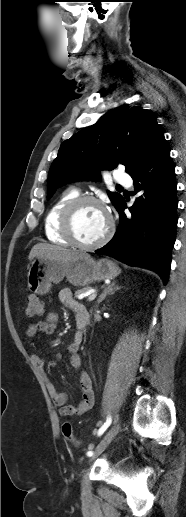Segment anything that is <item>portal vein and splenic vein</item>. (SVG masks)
I'll return each mask as SVG.
<instances>
[{
  "label": "portal vein and splenic vein",
  "instance_id": "portal-vein-and-splenic-vein-1",
  "mask_svg": "<svg viewBox=\"0 0 186 517\" xmlns=\"http://www.w3.org/2000/svg\"><path fill=\"white\" fill-rule=\"evenodd\" d=\"M97 294L96 293H91L88 297V300L89 301H93L95 298H96Z\"/></svg>",
  "mask_w": 186,
  "mask_h": 517
}]
</instances>
